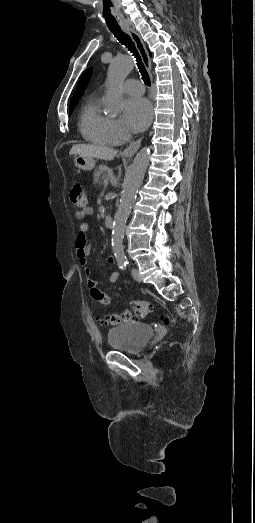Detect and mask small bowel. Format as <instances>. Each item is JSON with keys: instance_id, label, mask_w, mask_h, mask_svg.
<instances>
[{"instance_id": "obj_1", "label": "small bowel", "mask_w": 255, "mask_h": 523, "mask_svg": "<svg viewBox=\"0 0 255 523\" xmlns=\"http://www.w3.org/2000/svg\"><path fill=\"white\" fill-rule=\"evenodd\" d=\"M92 214L93 209L88 207L82 211L76 212V218L78 220H83L84 218ZM88 231L89 224L87 222H82L78 228V235L75 242V252L80 264L86 269V280L89 287H91L96 286V282L93 280L91 273L88 269V257L90 254V245L87 238ZM106 261L110 264H114L115 259L112 256H109L106 258ZM119 275L120 273L118 270L112 271L109 275V282L115 283L118 280Z\"/></svg>"}]
</instances>
